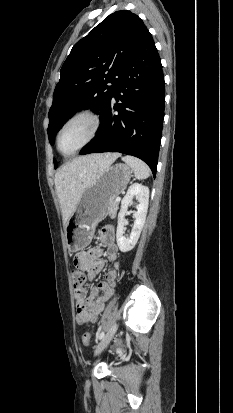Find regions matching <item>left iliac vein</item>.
<instances>
[{"label":"left iliac vein","instance_id":"left-iliac-vein-1","mask_svg":"<svg viewBox=\"0 0 233 413\" xmlns=\"http://www.w3.org/2000/svg\"><path fill=\"white\" fill-rule=\"evenodd\" d=\"M117 331V324L114 323L106 335L103 337V339L100 341V343L97 345L96 350L94 352V356L99 355L111 342L112 338L114 337L115 333Z\"/></svg>","mask_w":233,"mask_h":413}]
</instances>
